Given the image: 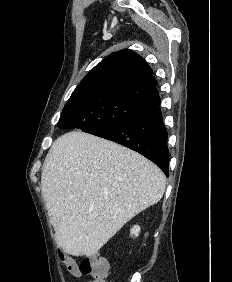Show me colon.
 Listing matches in <instances>:
<instances>
[{"instance_id":"obj_1","label":"colon","mask_w":232,"mask_h":282,"mask_svg":"<svg viewBox=\"0 0 232 282\" xmlns=\"http://www.w3.org/2000/svg\"><path fill=\"white\" fill-rule=\"evenodd\" d=\"M59 257L71 274L84 275L88 277L87 282H109V263L106 259L94 257L77 261L62 252H59Z\"/></svg>"}]
</instances>
